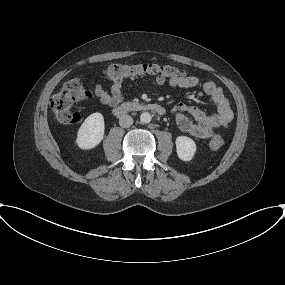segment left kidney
I'll use <instances>...</instances> for the list:
<instances>
[{
    "instance_id": "obj_1",
    "label": "left kidney",
    "mask_w": 285,
    "mask_h": 285,
    "mask_svg": "<svg viewBox=\"0 0 285 285\" xmlns=\"http://www.w3.org/2000/svg\"><path fill=\"white\" fill-rule=\"evenodd\" d=\"M176 150L179 159L183 161H191L196 152V144L189 137L178 136L176 138Z\"/></svg>"
}]
</instances>
